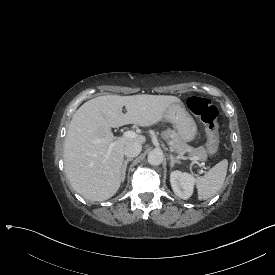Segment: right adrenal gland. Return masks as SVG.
<instances>
[{
  "label": "right adrenal gland",
  "mask_w": 275,
  "mask_h": 275,
  "mask_svg": "<svg viewBox=\"0 0 275 275\" xmlns=\"http://www.w3.org/2000/svg\"><path fill=\"white\" fill-rule=\"evenodd\" d=\"M133 158H128V159H125L123 160L122 162V168H121V183L124 182V179H125V172H126V167L129 163V161H132Z\"/></svg>",
  "instance_id": "obj_1"
}]
</instances>
